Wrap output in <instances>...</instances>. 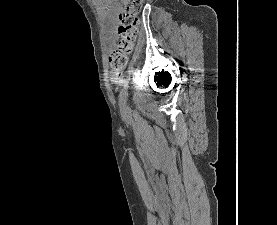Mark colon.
I'll return each instance as SVG.
<instances>
[{"instance_id": "1", "label": "colon", "mask_w": 277, "mask_h": 225, "mask_svg": "<svg viewBox=\"0 0 277 225\" xmlns=\"http://www.w3.org/2000/svg\"><path fill=\"white\" fill-rule=\"evenodd\" d=\"M124 3V10L119 14V40L108 60L114 76H120L123 73L138 36L142 0H124Z\"/></svg>"}]
</instances>
